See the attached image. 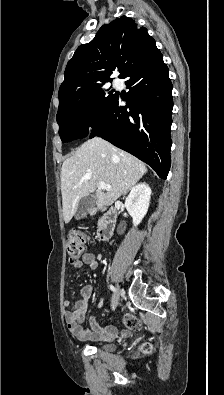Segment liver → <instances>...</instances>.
Instances as JSON below:
<instances>
[{"instance_id": "liver-1", "label": "liver", "mask_w": 224, "mask_h": 395, "mask_svg": "<svg viewBox=\"0 0 224 395\" xmlns=\"http://www.w3.org/2000/svg\"><path fill=\"white\" fill-rule=\"evenodd\" d=\"M147 172L143 162L100 137L86 141L66 159L61 168L63 218L69 223L79 201L95 193L98 209L112 205ZM99 182L111 186L106 193Z\"/></svg>"}]
</instances>
